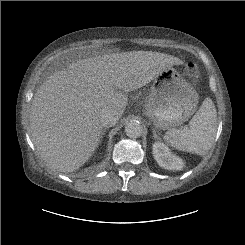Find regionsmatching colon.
<instances>
[{"instance_id": "obj_1", "label": "colon", "mask_w": 245, "mask_h": 245, "mask_svg": "<svg viewBox=\"0 0 245 245\" xmlns=\"http://www.w3.org/2000/svg\"><path fill=\"white\" fill-rule=\"evenodd\" d=\"M184 74L191 82L198 81L200 77L198 66L193 62L186 64Z\"/></svg>"}]
</instances>
